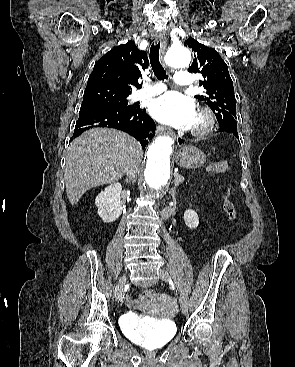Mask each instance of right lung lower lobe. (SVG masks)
<instances>
[{"mask_svg":"<svg viewBox=\"0 0 295 367\" xmlns=\"http://www.w3.org/2000/svg\"><path fill=\"white\" fill-rule=\"evenodd\" d=\"M95 127L115 128L127 132L140 141L143 147L148 143L147 138L153 137L149 131H155L154 121L146 114V110L139 106L128 109L107 106L85 107L80 109L79 119L70 141Z\"/></svg>","mask_w":295,"mask_h":367,"instance_id":"obj_1","label":"right lung lower lobe"}]
</instances>
